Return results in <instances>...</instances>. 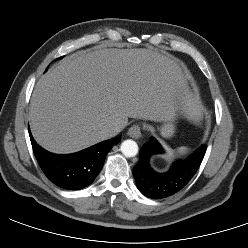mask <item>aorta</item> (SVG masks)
Masks as SVG:
<instances>
[{
    "instance_id": "762f6f07",
    "label": "aorta",
    "mask_w": 248,
    "mask_h": 248,
    "mask_svg": "<svg viewBox=\"0 0 248 248\" xmlns=\"http://www.w3.org/2000/svg\"><path fill=\"white\" fill-rule=\"evenodd\" d=\"M120 150L124 156L134 157L138 153V145L135 141L128 139L122 142Z\"/></svg>"
}]
</instances>
